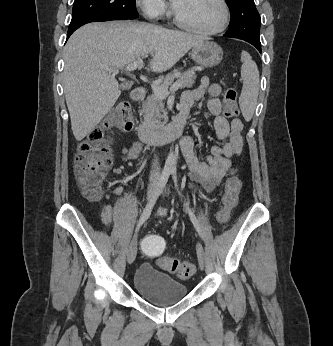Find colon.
I'll return each instance as SVG.
<instances>
[{"mask_svg":"<svg viewBox=\"0 0 333 346\" xmlns=\"http://www.w3.org/2000/svg\"><path fill=\"white\" fill-rule=\"evenodd\" d=\"M224 113L227 117L238 114L237 91L229 87L224 93ZM133 128L132 110L127 101H120L107 118L105 129H116L128 132ZM113 162L111 144L103 130L91 132L86 141L79 144L74 160L75 177L78 187L84 197L97 202L102 197V185L106 172ZM241 180L232 172L226 180L222 197V208L217 214V220L225 223L229 220L231 211L237 206ZM162 233H147L142 235L140 250L143 256H165V240ZM157 265L166 271L187 279L195 273L194 264L173 257H161Z\"/></svg>","mask_w":333,"mask_h":346,"instance_id":"obj_1","label":"colon"}]
</instances>
